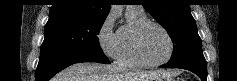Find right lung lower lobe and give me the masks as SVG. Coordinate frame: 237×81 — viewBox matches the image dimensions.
Instances as JSON below:
<instances>
[{
  "label": "right lung lower lobe",
  "instance_id": "1",
  "mask_svg": "<svg viewBox=\"0 0 237 81\" xmlns=\"http://www.w3.org/2000/svg\"><path fill=\"white\" fill-rule=\"evenodd\" d=\"M80 62H98L110 64L105 55L95 53H63L43 52L40 53L39 63L36 69V81H48L56 73L64 68Z\"/></svg>",
  "mask_w": 237,
  "mask_h": 81
}]
</instances>
